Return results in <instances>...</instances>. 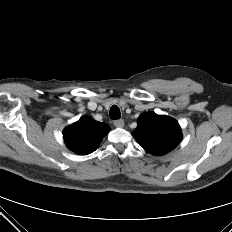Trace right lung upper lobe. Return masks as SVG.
Masks as SVG:
<instances>
[{
  "mask_svg": "<svg viewBox=\"0 0 232 232\" xmlns=\"http://www.w3.org/2000/svg\"><path fill=\"white\" fill-rule=\"evenodd\" d=\"M109 131L110 128L105 123L84 116L73 123L70 128L65 129L64 140L66 146L73 152L87 155L98 148L100 140Z\"/></svg>",
  "mask_w": 232,
  "mask_h": 232,
  "instance_id": "obj_1",
  "label": "right lung upper lobe"
}]
</instances>
